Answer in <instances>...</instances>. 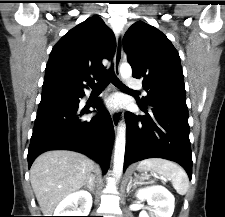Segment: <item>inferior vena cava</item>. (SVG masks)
Returning <instances> with one entry per match:
<instances>
[{
  "instance_id": "obj_1",
  "label": "inferior vena cava",
  "mask_w": 225,
  "mask_h": 217,
  "mask_svg": "<svg viewBox=\"0 0 225 217\" xmlns=\"http://www.w3.org/2000/svg\"><path fill=\"white\" fill-rule=\"evenodd\" d=\"M91 178H93V179H94V177H93L92 175H91L90 179H91Z\"/></svg>"
}]
</instances>
